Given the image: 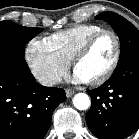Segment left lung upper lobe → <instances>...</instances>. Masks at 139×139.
I'll return each mask as SVG.
<instances>
[{
	"label": "left lung upper lobe",
	"instance_id": "5c2ea615",
	"mask_svg": "<svg viewBox=\"0 0 139 139\" xmlns=\"http://www.w3.org/2000/svg\"><path fill=\"white\" fill-rule=\"evenodd\" d=\"M95 18L108 22L118 34L121 43L119 62L131 53L139 51V31L125 18L112 12H102Z\"/></svg>",
	"mask_w": 139,
	"mask_h": 139
}]
</instances>
